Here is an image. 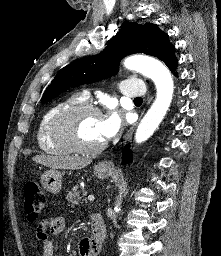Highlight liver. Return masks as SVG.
<instances>
[{
  "mask_svg": "<svg viewBox=\"0 0 221 256\" xmlns=\"http://www.w3.org/2000/svg\"><path fill=\"white\" fill-rule=\"evenodd\" d=\"M33 161L51 169H81L91 163L90 159L72 156L36 155Z\"/></svg>",
  "mask_w": 221,
  "mask_h": 256,
  "instance_id": "liver-1",
  "label": "liver"
}]
</instances>
